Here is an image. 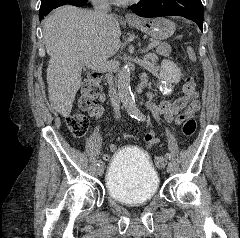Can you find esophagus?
I'll use <instances>...</instances> for the list:
<instances>
[{
  "instance_id": "34e87169",
  "label": "esophagus",
  "mask_w": 240,
  "mask_h": 238,
  "mask_svg": "<svg viewBox=\"0 0 240 238\" xmlns=\"http://www.w3.org/2000/svg\"><path fill=\"white\" fill-rule=\"evenodd\" d=\"M125 18L128 20H135L136 17L131 13H126Z\"/></svg>"
}]
</instances>
